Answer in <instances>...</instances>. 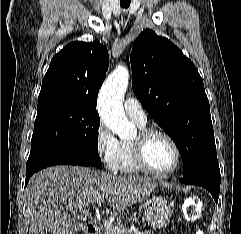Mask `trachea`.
I'll return each instance as SVG.
<instances>
[{
	"mask_svg": "<svg viewBox=\"0 0 241 234\" xmlns=\"http://www.w3.org/2000/svg\"><path fill=\"white\" fill-rule=\"evenodd\" d=\"M120 2H121V6L123 8H128L129 5H130L131 0H120Z\"/></svg>",
	"mask_w": 241,
	"mask_h": 234,
	"instance_id": "1",
	"label": "trachea"
}]
</instances>
